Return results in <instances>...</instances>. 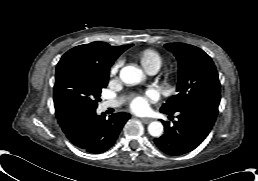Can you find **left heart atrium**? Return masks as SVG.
I'll return each instance as SVG.
<instances>
[{
	"label": "left heart atrium",
	"mask_w": 258,
	"mask_h": 181,
	"mask_svg": "<svg viewBox=\"0 0 258 181\" xmlns=\"http://www.w3.org/2000/svg\"><path fill=\"white\" fill-rule=\"evenodd\" d=\"M155 99V94L149 91L146 95L135 97L130 103V108L137 113L145 112L148 110L150 101Z\"/></svg>",
	"instance_id": "left-heart-atrium-1"
}]
</instances>
